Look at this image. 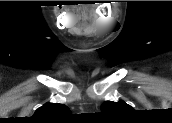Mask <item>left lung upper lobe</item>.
I'll list each match as a JSON object with an SVG mask.
<instances>
[{
    "instance_id": "1",
    "label": "left lung upper lobe",
    "mask_w": 172,
    "mask_h": 123,
    "mask_svg": "<svg viewBox=\"0 0 172 123\" xmlns=\"http://www.w3.org/2000/svg\"><path fill=\"white\" fill-rule=\"evenodd\" d=\"M132 109L133 108L131 106H129L122 100H120L119 102L105 101L101 105V110L104 114L120 115L123 113L130 112Z\"/></svg>"
}]
</instances>
